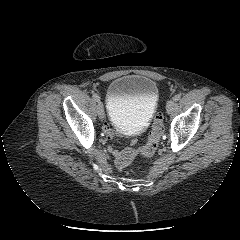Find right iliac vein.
Returning a JSON list of instances; mask_svg holds the SVG:
<instances>
[{
    "mask_svg": "<svg viewBox=\"0 0 240 240\" xmlns=\"http://www.w3.org/2000/svg\"><path fill=\"white\" fill-rule=\"evenodd\" d=\"M97 113H98L99 119L102 121L105 117V112H104L103 104L100 101L98 102V105H97Z\"/></svg>",
    "mask_w": 240,
    "mask_h": 240,
    "instance_id": "1",
    "label": "right iliac vein"
}]
</instances>
